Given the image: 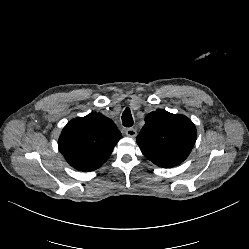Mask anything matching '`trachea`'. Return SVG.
<instances>
[{"label": "trachea", "instance_id": "1", "mask_svg": "<svg viewBox=\"0 0 249 249\" xmlns=\"http://www.w3.org/2000/svg\"><path fill=\"white\" fill-rule=\"evenodd\" d=\"M122 122L125 127H131L133 125V118L131 115L130 108H125V111L122 115Z\"/></svg>", "mask_w": 249, "mask_h": 249}]
</instances>
